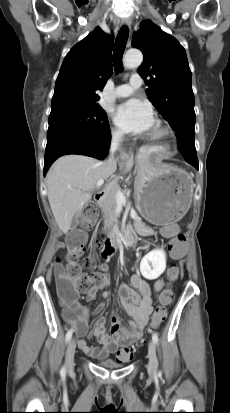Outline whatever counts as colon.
I'll return each instance as SVG.
<instances>
[{
  "mask_svg": "<svg viewBox=\"0 0 230 413\" xmlns=\"http://www.w3.org/2000/svg\"><path fill=\"white\" fill-rule=\"evenodd\" d=\"M96 219V208L92 204L86 205L80 214L79 228L71 233L66 244L68 253L66 255V264L63 265L60 260H56L53 268L56 290L60 300L69 308L75 302L76 296L80 292H86L95 286L102 283L101 271H94L91 274L83 271L79 264V257L87 243L86 230L90 229ZM190 246V241L185 235H176L170 243L171 255L174 259H178L183 255L184 248ZM84 267L86 269H94L96 267V259L93 255H89L85 259ZM179 276V266L177 263H171L167 270V277L163 280L164 287H173L174 281ZM173 294L170 289L164 290L160 295V304L156 308L151 323V329H155L163 322L167 316L166 307L172 302ZM134 352L132 346H127L124 349V356L129 360Z\"/></svg>",
  "mask_w": 230,
  "mask_h": 413,
  "instance_id": "1",
  "label": "colon"
}]
</instances>
